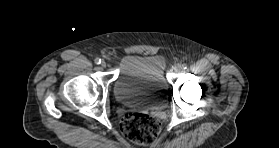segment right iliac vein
Instances as JSON below:
<instances>
[{
  "mask_svg": "<svg viewBox=\"0 0 279 148\" xmlns=\"http://www.w3.org/2000/svg\"><path fill=\"white\" fill-rule=\"evenodd\" d=\"M106 66H107V65H106V62L102 61V62H101V67H102V68H106Z\"/></svg>",
  "mask_w": 279,
  "mask_h": 148,
  "instance_id": "1",
  "label": "right iliac vein"
}]
</instances>
